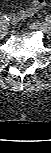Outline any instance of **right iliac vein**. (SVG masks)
Returning <instances> with one entry per match:
<instances>
[{
    "instance_id": "right-iliac-vein-1",
    "label": "right iliac vein",
    "mask_w": 51,
    "mask_h": 153,
    "mask_svg": "<svg viewBox=\"0 0 51 153\" xmlns=\"http://www.w3.org/2000/svg\"><path fill=\"white\" fill-rule=\"evenodd\" d=\"M8 33L6 25L1 23V28H0V35L5 36Z\"/></svg>"
}]
</instances>
